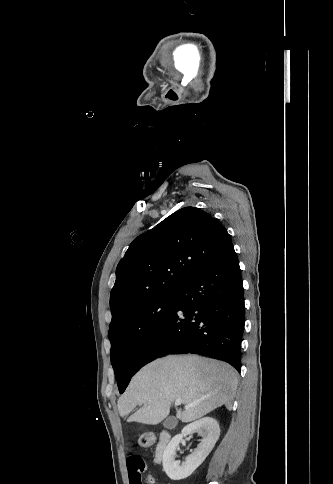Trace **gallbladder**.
Returning a JSON list of instances; mask_svg holds the SVG:
<instances>
[{
    "label": "gallbladder",
    "mask_w": 333,
    "mask_h": 484,
    "mask_svg": "<svg viewBox=\"0 0 333 484\" xmlns=\"http://www.w3.org/2000/svg\"><path fill=\"white\" fill-rule=\"evenodd\" d=\"M177 424L176 418L174 416H168L163 421V426L166 429H173Z\"/></svg>",
    "instance_id": "obj_1"
}]
</instances>
